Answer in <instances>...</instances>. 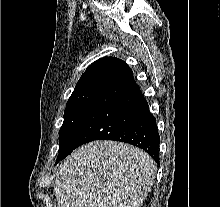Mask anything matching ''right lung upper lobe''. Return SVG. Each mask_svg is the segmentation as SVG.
<instances>
[{"mask_svg":"<svg viewBox=\"0 0 220 207\" xmlns=\"http://www.w3.org/2000/svg\"><path fill=\"white\" fill-rule=\"evenodd\" d=\"M129 68L128 65L115 57H104L94 63H92L86 71L83 73L81 78L76 84L75 89L83 86L96 83L104 82L107 78L115 75L116 73Z\"/></svg>","mask_w":220,"mask_h":207,"instance_id":"right-lung-upper-lobe-1","label":"right lung upper lobe"}]
</instances>
